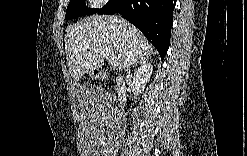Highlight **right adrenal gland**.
<instances>
[{
	"mask_svg": "<svg viewBox=\"0 0 247 156\" xmlns=\"http://www.w3.org/2000/svg\"><path fill=\"white\" fill-rule=\"evenodd\" d=\"M147 62V58L146 57H140L134 64H133V67L134 66H137L138 64H143Z\"/></svg>",
	"mask_w": 247,
	"mask_h": 156,
	"instance_id": "right-adrenal-gland-1",
	"label": "right adrenal gland"
}]
</instances>
